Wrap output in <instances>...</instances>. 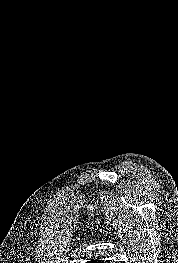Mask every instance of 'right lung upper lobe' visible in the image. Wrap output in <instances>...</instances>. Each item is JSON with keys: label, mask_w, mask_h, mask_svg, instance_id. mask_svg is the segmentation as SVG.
Instances as JSON below:
<instances>
[{"label": "right lung upper lobe", "mask_w": 178, "mask_h": 263, "mask_svg": "<svg viewBox=\"0 0 178 263\" xmlns=\"http://www.w3.org/2000/svg\"><path fill=\"white\" fill-rule=\"evenodd\" d=\"M87 263H104V261H101V260H92V261H88Z\"/></svg>", "instance_id": "obj_1"}]
</instances>
